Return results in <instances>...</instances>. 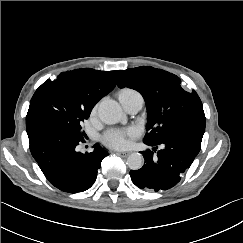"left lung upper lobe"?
I'll return each mask as SVG.
<instances>
[{
	"label": "left lung upper lobe",
	"instance_id": "left-lung-upper-lobe-1",
	"mask_svg": "<svg viewBox=\"0 0 243 243\" xmlns=\"http://www.w3.org/2000/svg\"><path fill=\"white\" fill-rule=\"evenodd\" d=\"M118 87L140 92L148 111L145 143H157L180 123L205 118L202 102L193 90L187 92L176 75L150 66L123 71Z\"/></svg>",
	"mask_w": 243,
	"mask_h": 243
}]
</instances>
